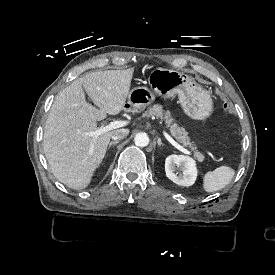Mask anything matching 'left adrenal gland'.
I'll return each instance as SVG.
<instances>
[{
  "label": "left adrenal gland",
  "mask_w": 275,
  "mask_h": 275,
  "mask_svg": "<svg viewBox=\"0 0 275 275\" xmlns=\"http://www.w3.org/2000/svg\"><path fill=\"white\" fill-rule=\"evenodd\" d=\"M157 144H158V146L164 145V144L161 142V139H160V138H157Z\"/></svg>",
  "instance_id": "a2214340"
}]
</instances>
